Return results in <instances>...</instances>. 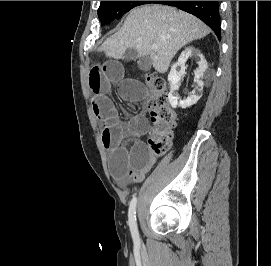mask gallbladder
Instances as JSON below:
<instances>
[{"label":"gallbladder","mask_w":271,"mask_h":266,"mask_svg":"<svg viewBox=\"0 0 271 266\" xmlns=\"http://www.w3.org/2000/svg\"><path fill=\"white\" fill-rule=\"evenodd\" d=\"M137 57V53L133 49H128L124 55V60L132 61ZM138 68L142 71H149L151 69V59L149 56L140 57L137 61Z\"/></svg>","instance_id":"bac80fb5"}]
</instances>
